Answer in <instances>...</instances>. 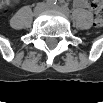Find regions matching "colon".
Returning a JSON list of instances; mask_svg holds the SVG:
<instances>
[{"label": "colon", "mask_w": 103, "mask_h": 103, "mask_svg": "<svg viewBox=\"0 0 103 103\" xmlns=\"http://www.w3.org/2000/svg\"><path fill=\"white\" fill-rule=\"evenodd\" d=\"M89 7L95 11V24L101 26L103 24V8L97 1H91Z\"/></svg>", "instance_id": "1"}]
</instances>
